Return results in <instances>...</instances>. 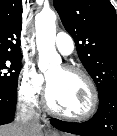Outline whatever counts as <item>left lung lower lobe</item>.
I'll use <instances>...</instances> for the list:
<instances>
[{
  "label": "left lung lower lobe",
  "instance_id": "1",
  "mask_svg": "<svg viewBox=\"0 0 117 136\" xmlns=\"http://www.w3.org/2000/svg\"><path fill=\"white\" fill-rule=\"evenodd\" d=\"M51 124L61 131L81 136H117V85L99 97L98 111L90 120L69 123L53 119Z\"/></svg>",
  "mask_w": 117,
  "mask_h": 136
}]
</instances>
